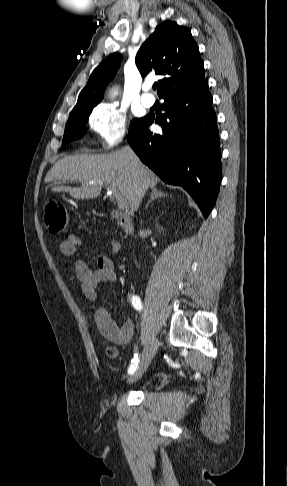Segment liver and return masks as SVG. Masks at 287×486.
Instances as JSON below:
<instances>
[{
	"label": "liver",
	"instance_id": "obj_1",
	"mask_svg": "<svg viewBox=\"0 0 287 486\" xmlns=\"http://www.w3.org/2000/svg\"><path fill=\"white\" fill-rule=\"evenodd\" d=\"M76 181L81 187L53 186L54 192H68L75 199H93L103 186L116 189L128 201L130 209L139 207L138 192L142 181L154 188L158 177L135 155L120 150L110 154H81L57 161L48 172L45 182Z\"/></svg>",
	"mask_w": 287,
	"mask_h": 486
}]
</instances>
